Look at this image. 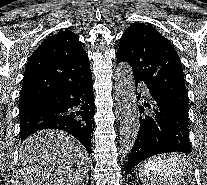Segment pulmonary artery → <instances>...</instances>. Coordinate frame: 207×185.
I'll use <instances>...</instances> for the list:
<instances>
[{
	"label": "pulmonary artery",
	"instance_id": "e3ab8cb5",
	"mask_svg": "<svg viewBox=\"0 0 207 185\" xmlns=\"http://www.w3.org/2000/svg\"><path fill=\"white\" fill-rule=\"evenodd\" d=\"M143 91H144V93L147 95L148 94V92H147V89L146 88H143Z\"/></svg>",
	"mask_w": 207,
	"mask_h": 185
}]
</instances>
